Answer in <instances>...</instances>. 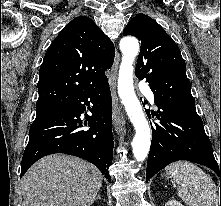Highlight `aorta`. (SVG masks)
Returning <instances> with one entry per match:
<instances>
[{
  "label": "aorta",
  "mask_w": 221,
  "mask_h": 206,
  "mask_svg": "<svg viewBox=\"0 0 221 206\" xmlns=\"http://www.w3.org/2000/svg\"><path fill=\"white\" fill-rule=\"evenodd\" d=\"M120 50L122 62L119 69L118 94L136 132L132 141L134 157L137 161H143L150 149L151 131L134 92L133 62L139 52V42L134 37H124L120 41Z\"/></svg>",
  "instance_id": "aorta-1"
}]
</instances>
